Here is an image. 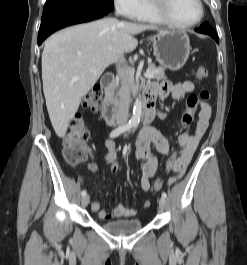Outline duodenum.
<instances>
[{
	"mask_svg": "<svg viewBox=\"0 0 247 265\" xmlns=\"http://www.w3.org/2000/svg\"><path fill=\"white\" fill-rule=\"evenodd\" d=\"M116 77L111 72H106L103 77L101 84L105 89L106 97L104 104L102 106V115L104 119L108 122H113L118 114V108L115 105L112 97L113 85L115 83ZM155 90L145 89L144 92V111L142 115V121L144 124L152 121L156 115L155 107Z\"/></svg>",
	"mask_w": 247,
	"mask_h": 265,
	"instance_id": "410a0bca",
	"label": "duodenum"
}]
</instances>
